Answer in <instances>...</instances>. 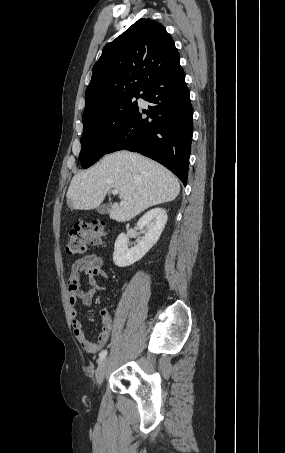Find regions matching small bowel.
Here are the masks:
<instances>
[{"instance_id":"1","label":"small bowel","mask_w":285,"mask_h":453,"mask_svg":"<svg viewBox=\"0 0 285 453\" xmlns=\"http://www.w3.org/2000/svg\"><path fill=\"white\" fill-rule=\"evenodd\" d=\"M82 275L87 277V290H83L80 286ZM107 277V273L103 269L102 257L97 254H89L73 263L67 283L74 336L81 347L92 354L99 352L110 339L113 330L111 314L107 308L99 311L98 317L102 323V330L97 340L92 342L87 338L78 318V306L90 307L93 303L94 294L104 290V286L97 279H107Z\"/></svg>"}]
</instances>
